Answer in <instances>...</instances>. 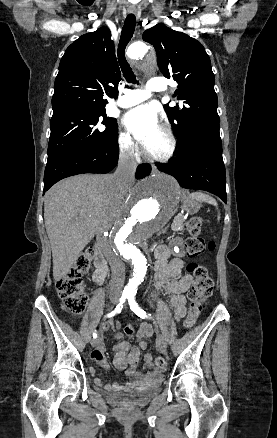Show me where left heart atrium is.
Returning <instances> with one entry per match:
<instances>
[{"label": "left heart atrium", "instance_id": "left-heart-atrium-1", "mask_svg": "<svg viewBox=\"0 0 277 438\" xmlns=\"http://www.w3.org/2000/svg\"><path fill=\"white\" fill-rule=\"evenodd\" d=\"M126 126L133 132L144 148L149 138L158 130V122L154 110L149 106H140L125 117Z\"/></svg>", "mask_w": 277, "mask_h": 438}]
</instances>
